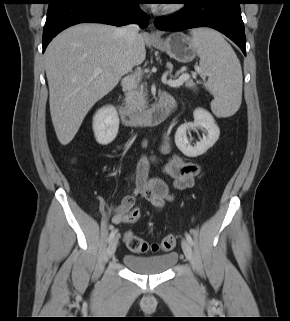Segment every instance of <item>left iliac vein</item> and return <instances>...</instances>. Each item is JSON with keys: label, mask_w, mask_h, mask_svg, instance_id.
Instances as JSON below:
<instances>
[{"label": "left iliac vein", "mask_w": 290, "mask_h": 321, "mask_svg": "<svg viewBox=\"0 0 290 321\" xmlns=\"http://www.w3.org/2000/svg\"><path fill=\"white\" fill-rule=\"evenodd\" d=\"M182 249L184 251V254L186 258L193 263V252H192V247L191 244L188 242V240L183 239L182 240Z\"/></svg>", "instance_id": "4c4485c4"}]
</instances>
